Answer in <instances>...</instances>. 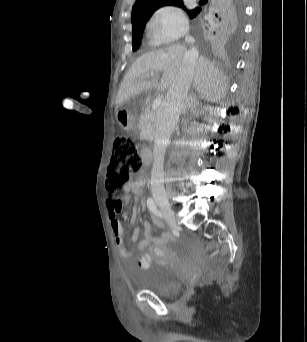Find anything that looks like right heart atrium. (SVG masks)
Returning <instances> with one entry per match:
<instances>
[{"label":"right heart atrium","instance_id":"obj_1","mask_svg":"<svg viewBox=\"0 0 307 342\" xmlns=\"http://www.w3.org/2000/svg\"><path fill=\"white\" fill-rule=\"evenodd\" d=\"M188 25L184 15L173 7L156 10L144 25V36L156 45H170L186 36Z\"/></svg>","mask_w":307,"mask_h":342}]
</instances>
